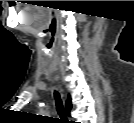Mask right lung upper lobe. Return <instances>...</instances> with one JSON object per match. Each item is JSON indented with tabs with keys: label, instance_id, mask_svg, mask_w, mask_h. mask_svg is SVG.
I'll return each instance as SVG.
<instances>
[{
	"label": "right lung upper lobe",
	"instance_id": "1",
	"mask_svg": "<svg viewBox=\"0 0 134 123\" xmlns=\"http://www.w3.org/2000/svg\"><path fill=\"white\" fill-rule=\"evenodd\" d=\"M71 108H72L71 98L69 97L67 102H66V110H67L68 114L70 113Z\"/></svg>",
	"mask_w": 134,
	"mask_h": 123
}]
</instances>
